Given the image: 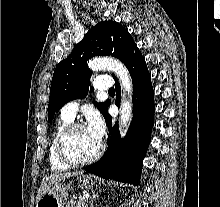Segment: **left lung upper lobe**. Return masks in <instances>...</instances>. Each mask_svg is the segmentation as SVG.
I'll return each mask as SVG.
<instances>
[{
    "mask_svg": "<svg viewBox=\"0 0 220 207\" xmlns=\"http://www.w3.org/2000/svg\"><path fill=\"white\" fill-rule=\"evenodd\" d=\"M136 44L129 32L119 23L104 21L92 27L72 53L55 68L52 77L48 104V121L67 102L88 94L91 71L87 60L97 55H111L125 63ZM110 102L99 103L105 114Z\"/></svg>",
    "mask_w": 220,
    "mask_h": 207,
    "instance_id": "5c2ea615",
    "label": "left lung upper lobe"
}]
</instances>
